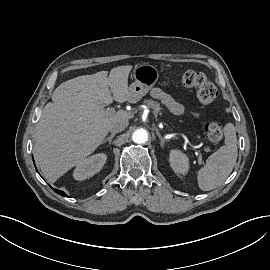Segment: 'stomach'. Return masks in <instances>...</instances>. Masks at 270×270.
I'll list each match as a JSON object with an SVG mask.
<instances>
[{"instance_id":"stomach-1","label":"stomach","mask_w":270,"mask_h":270,"mask_svg":"<svg viewBox=\"0 0 270 270\" xmlns=\"http://www.w3.org/2000/svg\"><path fill=\"white\" fill-rule=\"evenodd\" d=\"M158 70L150 64H139L134 68V82L130 85V101L136 102L145 96L158 79Z\"/></svg>"}]
</instances>
